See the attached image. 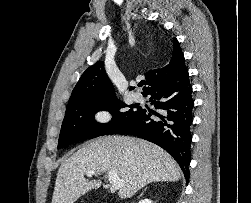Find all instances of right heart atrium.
Returning <instances> with one entry per match:
<instances>
[{
    "label": "right heart atrium",
    "mask_w": 251,
    "mask_h": 203,
    "mask_svg": "<svg viewBox=\"0 0 251 203\" xmlns=\"http://www.w3.org/2000/svg\"><path fill=\"white\" fill-rule=\"evenodd\" d=\"M111 114L106 110H99L95 114V121L99 124H106L110 121Z\"/></svg>",
    "instance_id": "1"
}]
</instances>
